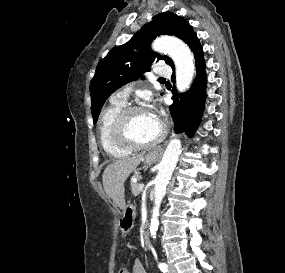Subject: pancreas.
Masks as SVG:
<instances>
[{
	"label": "pancreas",
	"mask_w": 285,
	"mask_h": 273,
	"mask_svg": "<svg viewBox=\"0 0 285 273\" xmlns=\"http://www.w3.org/2000/svg\"><path fill=\"white\" fill-rule=\"evenodd\" d=\"M139 185H140L139 183H135L133 181L131 182L132 193L134 196H137L140 194Z\"/></svg>",
	"instance_id": "1"
}]
</instances>
